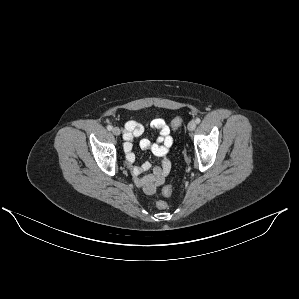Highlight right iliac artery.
Here are the masks:
<instances>
[{"mask_svg":"<svg viewBox=\"0 0 299 299\" xmlns=\"http://www.w3.org/2000/svg\"><path fill=\"white\" fill-rule=\"evenodd\" d=\"M107 129H108L109 131H111V130H112V126H111V125H108V126H107Z\"/></svg>","mask_w":299,"mask_h":299,"instance_id":"1","label":"right iliac artery"}]
</instances>
